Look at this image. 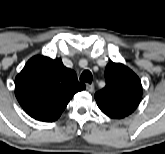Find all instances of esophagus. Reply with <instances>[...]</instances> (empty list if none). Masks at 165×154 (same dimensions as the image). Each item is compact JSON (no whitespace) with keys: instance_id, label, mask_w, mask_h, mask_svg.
I'll return each mask as SVG.
<instances>
[{"instance_id":"esophagus-1","label":"esophagus","mask_w":165,"mask_h":154,"mask_svg":"<svg viewBox=\"0 0 165 154\" xmlns=\"http://www.w3.org/2000/svg\"><path fill=\"white\" fill-rule=\"evenodd\" d=\"M86 89H87L89 92H93V91H94V85H93V84H86Z\"/></svg>"}]
</instances>
